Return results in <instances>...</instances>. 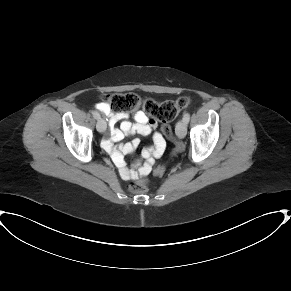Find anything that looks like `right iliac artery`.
Listing matches in <instances>:
<instances>
[{
  "mask_svg": "<svg viewBox=\"0 0 291 291\" xmlns=\"http://www.w3.org/2000/svg\"><path fill=\"white\" fill-rule=\"evenodd\" d=\"M92 114L95 119H100V114L97 111H93Z\"/></svg>",
  "mask_w": 291,
  "mask_h": 291,
  "instance_id": "1",
  "label": "right iliac artery"
}]
</instances>
